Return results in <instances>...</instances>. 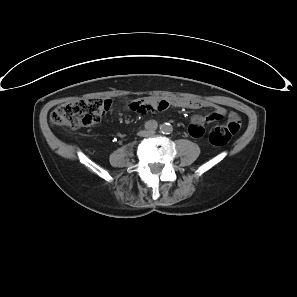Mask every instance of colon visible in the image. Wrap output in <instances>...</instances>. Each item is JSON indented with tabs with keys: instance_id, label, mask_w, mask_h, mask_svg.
<instances>
[{
	"instance_id": "5ec220e1",
	"label": "colon",
	"mask_w": 297,
	"mask_h": 297,
	"mask_svg": "<svg viewBox=\"0 0 297 297\" xmlns=\"http://www.w3.org/2000/svg\"><path fill=\"white\" fill-rule=\"evenodd\" d=\"M110 105L111 102L103 98L67 102L52 111L50 121L53 125L72 129L91 126L100 122ZM240 127L241 120L236 116L227 123L214 126L210 131L209 140L213 145L223 146L240 130Z\"/></svg>"
}]
</instances>
